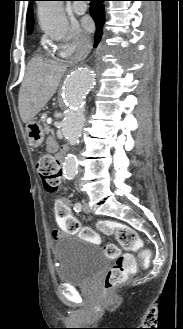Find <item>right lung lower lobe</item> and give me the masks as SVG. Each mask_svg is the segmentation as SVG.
<instances>
[{"label":"right lung lower lobe","instance_id":"98d812e1","mask_svg":"<svg viewBox=\"0 0 183 329\" xmlns=\"http://www.w3.org/2000/svg\"><path fill=\"white\" fill-rule=\"evenodd\" d=\"M106 0H91V6L89 9L90 15L96 24V33L94 37V47L98 45L103 34V25L105 23V10L103 2Z\"/></svg>","mask_w":183,"mask_h":329}]
</instances>
